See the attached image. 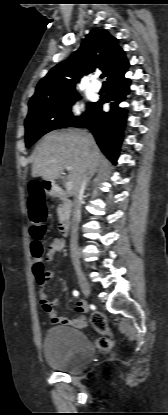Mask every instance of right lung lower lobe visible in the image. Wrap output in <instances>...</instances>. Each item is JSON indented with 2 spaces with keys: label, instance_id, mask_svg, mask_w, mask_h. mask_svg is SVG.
I'll use <instances>...</instances> for the list:
<instances>
[{
  "label": "right lung lower lobe",
  "instance_id": "obj_1",
  "mask_svg": "<svg viewBox=\"0 0 168 415\" xmlns=\"http://www.w3.org/2000/svg\"><path fill=\"white\" fill-rule=\"evenodd\" d=\"M127 67L108 79V93L71 125L88 128L93 133L101 151L114 163L118 158L122 141L121 133L126 119L125 110L118 105L124 101L130 91V80L125 78ZM104 103L110 104L109 112L102 111Z\"/></svg>",
  "mask_w": 168,
  "mask_h": 415
}]
</instances>
